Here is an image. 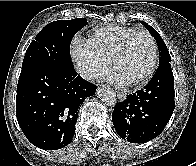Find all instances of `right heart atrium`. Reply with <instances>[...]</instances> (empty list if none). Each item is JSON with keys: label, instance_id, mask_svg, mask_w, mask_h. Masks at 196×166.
Instances as JSON below:
<instances>
[{"label": "right heart atrium", "instance_id": "right-heart-atrium-1", "mask_svg": "<svg viewBox=\"0 0 196 166\" xmlns=\"http://www.w3.org/2000/svg\"><path fill=\"white\" fill-rule=\"evenodd\" d=\"M71 60L77 71L86 79L105 70L110 61L98 53L87 39L75 37L70 49Z\"/></svg>", "mask_w": 196, "mask_h": 166}]
</instances>
